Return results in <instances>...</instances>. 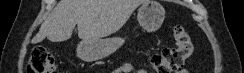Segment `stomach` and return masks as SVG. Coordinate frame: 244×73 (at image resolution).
I'll use <instances>...</instances> for the list:
<instances>
[{
    "instance_id": "obj_1",
    "label": "stomach",
    "mask_w": 244,
    "mask_h": 73,
    "mask_svg": "<svg viewBox=\"0 0 244 73\" xmlns=\"http://www.w3.org/2000/svg\"><path fill=\"white\" fill-rule=\"evenodd\" d=\"M138 22L148 32L159 29L165 18L163 6L155 0H146L138 10ZM125 39L113 37L107 39L81 41L77 46V55L84 61L102 59L119 49Z\"/></svg>"
}]
</instances>
